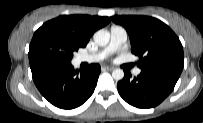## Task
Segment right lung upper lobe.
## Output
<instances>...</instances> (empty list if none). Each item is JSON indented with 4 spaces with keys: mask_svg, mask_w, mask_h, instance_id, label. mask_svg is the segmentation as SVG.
<instances>
[{
    "mask_svg": "<svg viewBox=\"0 0 203 123\" xmlns=\"http://www.w3.org/2000/svg\"><path fill=\"white\" fill-rule=\"evenodd\" d=\"M110 21L109 17L61 15L45 24L63 29L72 36L80 47H85L93 33L107 25Z\"/></svg>",
    "mask_w": 203,
    "mask_h": 123,
    "instance_id": "right-lung-upper-lobe-1",
    "label": "right lung upper lobe"
}]
</instances>
